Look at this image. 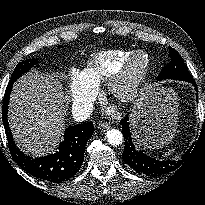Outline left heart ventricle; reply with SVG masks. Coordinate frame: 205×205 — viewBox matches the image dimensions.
Masks as SVG:
<instances>
[{
  "mask_svg": "<svg viewBox=\"0 0 205 205\" xmlns=\"http://www.w3.org/2000/svg\"><path fill=\"white\" fill-rule=\"evenodd\" d=\"M143 62V57H140L137 62H136V66H138L139 64H141Z\"/></svg>",
  "mask_w": 205,
  "mask_h": 205,
  "instance_id": "1",
  "label": "left heart ventricle"
}]
</instances>
